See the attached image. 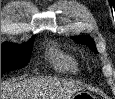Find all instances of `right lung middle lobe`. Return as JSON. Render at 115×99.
I'll use <instances>...</instances> for the list:
<instances>
[{
    "mask_svg": "<svg viewBox=\"0 0 115 99\" xmlns=\"http://www.w3.org/2000/svg\"><path fill=\"white\" fill-rule=\"evenodd\" d=\"M34 37L28 43H4L1 47V74L25 67L30 59Z\"/></svg>",
    "mask_w": 115,
    "mask_h": 99,
    "instance_id": "dd1d6c3e",
    "label": "right lung middle lobe"
}]
</instances>
